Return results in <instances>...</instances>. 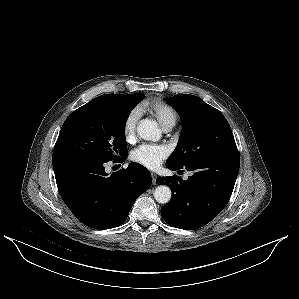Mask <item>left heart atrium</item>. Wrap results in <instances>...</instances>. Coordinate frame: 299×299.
Instances as JSON below:
<instances>
[{
  "label": "left heart atrium",
  "mask_w": 299,
  "mask_h": 299,
  "mask_svg": "<svg viewBox=\"0 0 299 299\" xmlns=\"http://www.w3.org/2000/svg\"><path fill=\"white\" fill-rule=\"evenodd\" d=\"M167 156L168 150L164 145L143 144L132 151L131 160L154 170L160 166Z\"/></svg>",
  "instance_id": "obj_1"
}]
</instances>
